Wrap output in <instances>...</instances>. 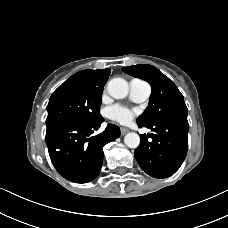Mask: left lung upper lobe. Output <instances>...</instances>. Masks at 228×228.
Masks as SVG:
<instances>
[{
    "label": "left lung upper lobe",
    "instance_id": "obj_1",
    "mask_svg": "<svg viewBox=\"0 0 228 228\" xmlns=\"http://www.w3.org/2000/svg\"><path fill=\"white\" fill-rule=\"evenodd\" d=\"M124 72L147 81L152 88L149 105L137 119L142 125H152L159 120L179 113H187L183 95L167 76L152 65H133L122 68Z\"/></svg>",
    "mask_w": 228,
    "mask_h": 228
}]
</instances>
